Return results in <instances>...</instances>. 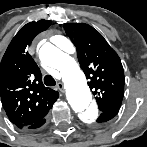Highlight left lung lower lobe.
<instances>
[{
	"label": "left lung lower lobe",
	"mask_w": 147,
	"mask_h": 147,
	"mask_svg": "<svg viewBox=\"0 0 147 147\" xmlns=\"http://www.w3.org/2000/svg\"><path fill=\"white\" fill-rule=\"evenodd\" d=\"M117 113H118L117 110L101 112L99 118L97 119V122L99 123L107 122L111 120Z\"/></svg>",
	"instance_id": "1"
}]
</instances>
